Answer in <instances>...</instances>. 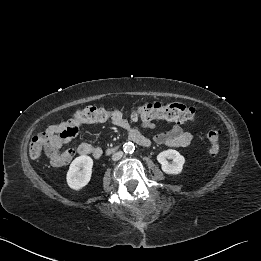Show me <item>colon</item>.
Listing matches in <instances>:
<instances>
[{
    "instance_id": "5ec220e1",
    "label": "colon",
    "mask_w": 261,
    "mask_h": 261,
    "mask_svg": "<svg viewBox=\"0 0 261 261\" xmlns=\"http://www.w3.org/2000/svg\"><path fill=\"white\" fill-rule=\"evenodd\" d=\"M197 114L198 112L194 107L181 103L162 104L160 102H149L138 107L113 110L91 106L77 111L73 115L77 125L64 130L59 138L62 143H65L77 135L81 124L113 121L120 117H128L133 121L141 120L143 123L156 119L194 122L197 119ZM206 137L209 142V154L216 156L220 151L221 131L216 127H209ZM48 142L49 135L45 132L34 136L29 147L30 155L34 158L39 157L45 150Z\"/></svg>"
}]
</instances>
